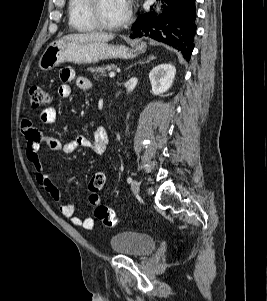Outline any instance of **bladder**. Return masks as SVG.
Instances as JSON below:
<instances>
[{
	"mask_svg": "<svg viewBox=\"0 0 267 301\" xmlns=\"http://www.w3.org/2000/svg\"><path fill=\"white\" fill-rule=\"evenodd\" d=\"M156 240L147 234L133 231H121L110 239V248L114 253L126 256L142 257L156 248Z\"/></svg>",
	"mask_w": 267,
	"mask_h": 301,
	"instance_id": "obj_1",
	"label": "bladder"
}]
</instances>
